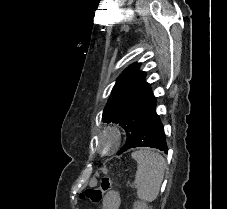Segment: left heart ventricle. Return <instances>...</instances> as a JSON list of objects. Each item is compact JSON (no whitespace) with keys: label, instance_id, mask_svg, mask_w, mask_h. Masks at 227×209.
Listing matches in <instances>:
<instances>
[{"label":"left heart ventricle","instance_id":"left-heart-ventricle-1","mask_svg":"<svg viewBox=\"0 0 227 209\" xmlns=\"http://www.w3.org/2000/svg\"><path fill=\"white\" fill-rule=\"evenodd\" d=\"M112 142H113V138H112V136L110 134L102 135L99 138V146L102 149H105V148L111 146L112 145Z\"/></svg>","mask_w":227,"mask_h":209}]
</instances>
